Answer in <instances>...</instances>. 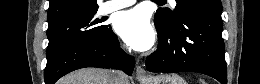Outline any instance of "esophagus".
<instances>
[{
  "label": "esophagus",
  "mask_w": 260,
  "mask_h": 84,
  "mask_svg": "<svg viewBox=\"0 0 260 84\" xmlns=\"http://www.w3.org/2000/svg\"><path fill=\"white\" fill-rule=\"evenodd\" d=\"M136 76L139 81H145L149 78V74L140 65L136 67Z\"/></svg>",
  "instance_id": "34e87169"
}]
</instances>
